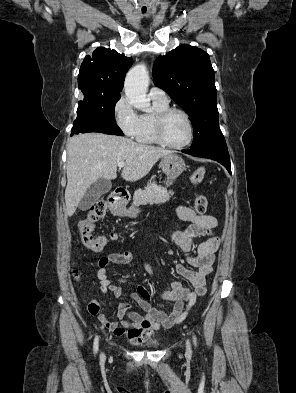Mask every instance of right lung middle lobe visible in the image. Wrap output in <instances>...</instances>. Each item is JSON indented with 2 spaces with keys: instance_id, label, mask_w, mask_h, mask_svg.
<instances>
[{
  "instance_id": "dd1d6c3e",
  "label": "right lung middle lobe",
  "mask_w": 296,
  "mask_h": 393,
  "mask_svg": "<svg viewBox=\"0 0 296 393\" xmlns=\"http://www.w3.org/2000/svg\"><path fill=\"white\" fill-rule=\"evenodd\" d=\"M120 99V95L111 96H84L83 101L79 102L77 116L95 117L102 121L116 124L115 104Z\"/></svg>"
}]
</instances>
